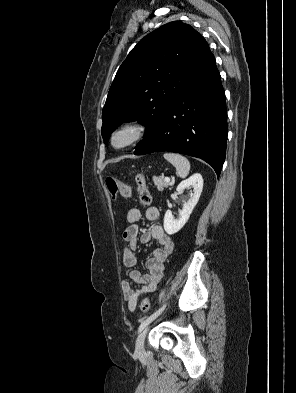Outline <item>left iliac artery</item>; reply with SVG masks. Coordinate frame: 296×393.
<instances>
[{
	"label": "left iliac artery",
	"instance_id": "1",
	"mask_svg": "<svg viewBox=\"0 0 296 393\" xmlns=\"http://www.w3.org/2000/svg\"><path fill=\"white\" fill-rule=\"evenodd\" d=\"M166 305H163L160 309H158L156 312H154L151 316H149L147 319L142 321L141 325L139 326L138 332H141L150 322H152L158 315L161 314V312L165 309Z\"/></svg>",
	"mask_w": 296,
	"mask_h": 393
}]
</instances>
